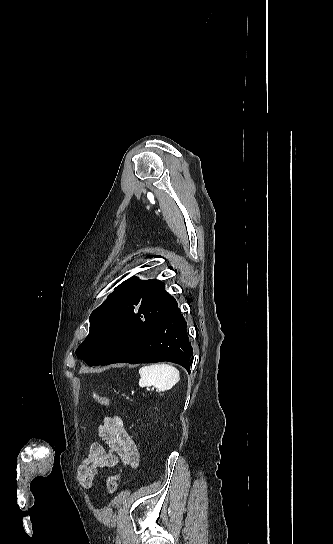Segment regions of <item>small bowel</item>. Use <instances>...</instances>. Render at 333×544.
<instances>
[{
  "mask_svg": "<svg viewBox=\"0 0 333 544\" xmlns=\"http://www.w3.org/2000/svg\"><path fill=\"white\" fill-rule=\"evenodd\" d=\"M99 441L90 445L88 454L77 471L84 488H90L101 468H111L120 461L136 467L139 461L137 447L118 416L105 417L97 428Z\"/></svg>",
  "mask_w": 333,
  "mask_h": 544,
  "instance_id": "obj_1",
  "label": "small bowel"
}]
</instances>
